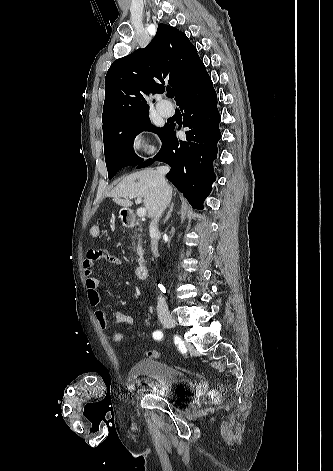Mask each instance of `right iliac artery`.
Instances as JSON below:
<instances>
[{
  "instance_id": "82829eb1",
  "label": "right iliac artery",
  "mask_w": 333,
  "mask_h": 471,
  "mask_svg": "<svg viewBox=\"0 0 333 471\" xmlns=\"http://www.w3.org/2000/svg\"><path fill=\"white\" fill-rule=\"evenodd\" d=\"M163 337V334L161 331L157 330L153 333V338L155 340H160Z\"/></svg>"
}]
</instances>
